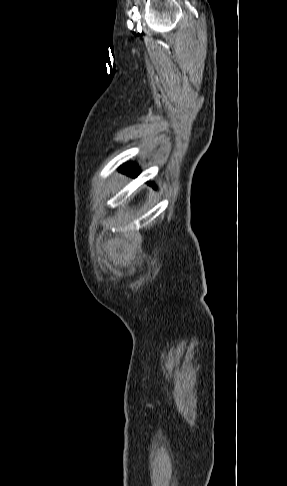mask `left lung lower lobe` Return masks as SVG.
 <instances>
[{
  "mask_svg": "<svg viewBox=\"0 0 287 486\" xmlns=\"http://www.w3.org/2000/svg\"><path fill=\"white\" fill-rule=\"evenodd\" d=\"M119 171L126 173L127 175L136 177L139 174V168L134 163H126L119 168ZM153 185L152 183H149ZM154 186V185H153Z\"/></svg>",
  "mask_w": 287,
  "mask_h": 486,
  "instance_id": "1",
  "label": "left lung lower lobe"
}]
</instances>
